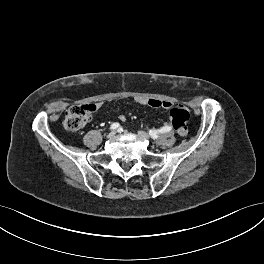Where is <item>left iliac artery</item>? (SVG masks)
I'll list each match as a JSON object with an SVG mask.
<instances>
[{
	"instance_id": "44dca946",
	"label": "left iliac artery",
	"mask_w": 264,
	"mask_h": 264,
	"mask_svg": "<svg viewBox=\"0 0 264 264\" xmlns=\"http://www.w3.org/2000/svg\"><path fill=\"white\" fill-rule=\"evenodd\" d=\"M171 130L170 126H164L162 128H160L159 130H150V132H156V133H166L169 132Z\"/></svg>"
}]
</instances>
